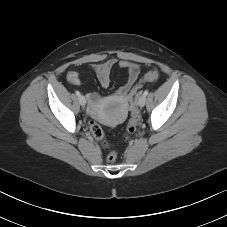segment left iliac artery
Wrapping results in <instances>:
<instances>
[{"label":"left iliac artery","mask_w":227,"mask_h":227,"mask_svg":"<svg viewBox=\"0 0 227 227\" xmlns=\"http://www.w3.org/2000/svg\"><path fill=\"white\" fill-rule=\"evenodd\" d=\"M148 93H149V91H148V90H145L144 93H143V95H144V96H147Z\"/></svg>","instance_id":"left-iliac-artery-1"}]
</instances>
